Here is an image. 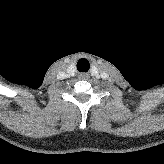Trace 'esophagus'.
I'll use <instances>...</instances> for the list:
<instances>
[{"instance_id": "34e87169", "label": "esophagus", "mask_w": 164, "mask_h": 164, "mask_svg": "<svg viewBox=\"0 0 164 164\" xmlns=\"http://www.w3.org/2000/svg\"><path fill=\"white\" fill-rule=\"evenodd\" d=\"M79 78L80 79H86V78H88V75L85 74V73H82V74L79 75Z\"/></svg>"}]
</instances>
